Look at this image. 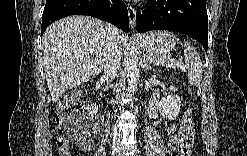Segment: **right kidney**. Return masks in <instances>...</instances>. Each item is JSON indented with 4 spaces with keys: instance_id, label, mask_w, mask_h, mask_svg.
Listing matches in <instances>:
<instances>
[{
    "instance_id": "1",
    "label": "right kidney",
    "mask_w": 247,
    "mask_h": 156,
    "mask_svg": "<svg viewBox=\"0 0 247 156\" xmlns=\"http://www.w3.org/2000/svg\"><path fill=\"white\" fill-rule=\"evenodd\" d=\"M88 115L93 116L98 111V106L94 103L87 104Z\"/></svg>"
}]
</instances>
